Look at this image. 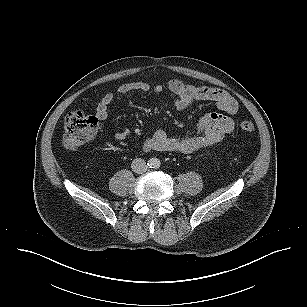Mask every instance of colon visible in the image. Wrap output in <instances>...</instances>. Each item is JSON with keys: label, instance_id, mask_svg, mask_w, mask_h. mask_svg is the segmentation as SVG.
Masks as SVG:
<instances>
[{"label": "colon", "instance_id": "1", "mask_svg": "<svg viewBox=\"0 0 307 307\" xmlns=\"http://www.w3.org/2000/svg\"><path fill=\"white\" fill-rule=\"evenodd\" d=\"M239 127L243 132L254 130V123L247 117L240 121ZM98 131V119L95 116L80 111L67 115L64 124L63 145L68 149H75L92 140Z\"/></svg>", "mask_w": 307, "mask_h": 307}]
</instances>
